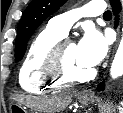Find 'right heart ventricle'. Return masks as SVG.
Here are the masks:
<instances>
[{
  "mask_svg": "<svg viewBox=\"0 0 123 113\" xmlns=\"http://www.w3.org/2000/svg\"><path fill=\"white\" fill-rule=\"evenodd\" d=\"M64 36L48 26L33 39L19 71V82L25 91L42 94L63 86L48 77L43 66L53 46Z\"/></svg>",
  "mask_w": 123,
  "mask_h": 113,
  "instance_id": "obj_1",
  "label": "right heart ventricle"
}]
</instances>
